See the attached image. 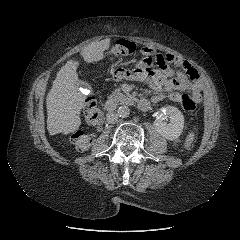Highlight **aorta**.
Segmentation results:
<instances>
[{
	"label": "aorta",
	"instance_id": "obj_1",
	"mask_svg": "<svg viewBox=\"0 0 240 240\" xmlns=\"http://www.w3.org/2000/svg\"><path fill=\"white\" fill-rule=\"evenodd\" d=\"M117 113L119 117L126 118L130 115V108L128 106H120Z\"/></svg>",
	"mask_w": 240,
	"mask_h": 240
}]
</instances>
